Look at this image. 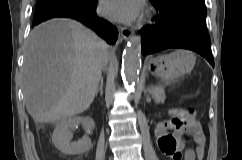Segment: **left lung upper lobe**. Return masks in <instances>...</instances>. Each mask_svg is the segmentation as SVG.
<instances>
[{
  "mask_svg": "<svg viewBox=\"0 0 242 160\" xmlns=\"http://www.w3.org/2000/svg\"><path fill=\"white\" fill-rule=\"evenodd\" d=\"M160 13L174 18L185 16L206 17L204 0H150Z\"/></svg>",
  "mask_w": 242,
  "mask_h": 160,
  "instance_id": "1",
  "label": "left lung upper lobe"
}]
</instances>
